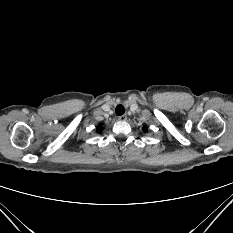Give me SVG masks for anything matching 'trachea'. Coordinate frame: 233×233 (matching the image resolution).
I'll list each match as a JSON object with an SVG mask.
<instances>
[{"label": "trachea", "instance_id": "3493384b", "mask_svg": "<svg viewBox=\"0 0 233 233\" xmlns=\"http://www.w3.org/2000/svg\"><path fill=\"white\" fill-rule=\"evenodd\" d=\"M115 113L117 114V115H123L124 113H125V108H124V106L123 105H118L117 107H116V109H115Z\"/></svg>", "mask_w": 233, "mask_h": 233}]
</instances>
